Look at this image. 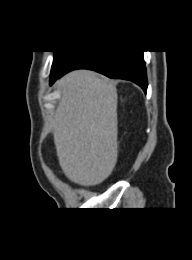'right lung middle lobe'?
<instances>
[{
	"label": "right lung middle lobe",
	"mask_w": 192,
	"mask_h": 260,
	"mask_svg": "<svg viewBox=\"0 0 192 260\" xmlns=\"http://www.w3.org/2000/svg\"><path fill=\"white\" fill-rule=\"evenodd\" d=\"M76 54L77 52L71 51H55L51 77L57 75Z\"/></svg>",
	"instance_id": "right-lung-middle-lobe-1"
}]
</instances>
